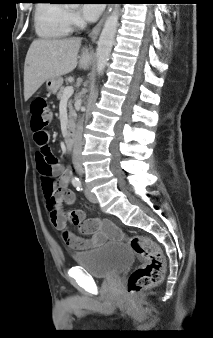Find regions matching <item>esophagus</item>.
<instances>
[{
  "label": "esophagus",
  "mask_w": 213,
  "mask_h": 338,
  "mask_svg": "<svg viewBox=\"0 0 213 338\" xmlns=\"http://www.w3.org/2000/svg\"><path fill=\"white\" fill-rule=\"evenodd\" d=\"M109 11H110V5L107 6V8H106L103 16L101 17L100 21L92 29V31L90 33V39H91L92 42H95L96 39L98 38V35H99L100 30L102 28V25H103L105 19L107 18Z\"/></svg>",
  "instance_id": "1"
}]
</instances>
